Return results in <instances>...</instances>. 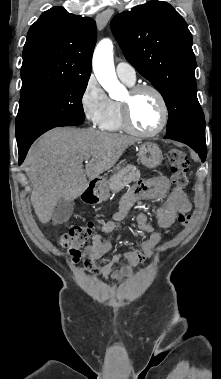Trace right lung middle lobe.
Listing matches in <instances>:
<instances>
[{
	"label": "right lung middle lobe",
	"mask_w": 221,
	"mask_h": 379,
	"mask_svg": "<svg viewBox=\"0 0 221 379\" xmlns=\"http://www.w3.org/2000/svg\"><path fill=\"white\" fill-rule=\"evenodd\" d=\"M89 78L64 80L21 90L17 143L35 140L57 126L82 124V97Z\"/></svg>",
	"instance_id": "1"
}]
</instances>
